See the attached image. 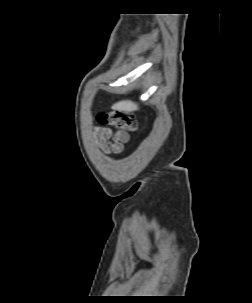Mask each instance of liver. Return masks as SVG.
I'll return each instance as SVG.
<instances>
[{"label":"liver","instance_id":"obj_1","mask_svg":"<svg viewBox=\"0 0 252 303\" xmlns=\"http://www.w3.org/2000/svg\"><path fill=\"white\" fill-rule=\"evenodd\" d=\"M112 108L117 111H126V112H132L139 109L138 105L130 100L117 102L112 106Z\"/></svg>","mask_w":252,"mask_h":303}]
</instances>
